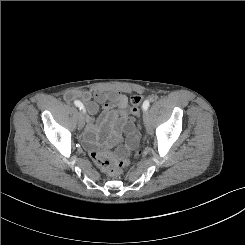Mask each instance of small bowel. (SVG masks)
<instances>
[{
    "instance_id": "1",
    "label": "small bowel",
    "mask_w": 245,
    "mask_h": 245,
    "mask_svg": "<svg viewBox=\"0 0 245 245\" xmlns=\"http://www.w3.org/2000/svg\"><path fill=\"white\" fill-rule=\"evenodd\" d=\"M80 97L86 104L90 115H95L99 110V104H103V115L105 121H115L118 123L119 131L124 138V149L133 147L138 139V133L134 129L133 120L127 112V97L119 91H89L78 93L70 92L66 94V100L73 97ZM97 125L92 118L88 120L86 138L89 143L94 142Z\"/></svg>"
}]
</instances>
